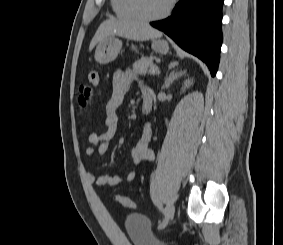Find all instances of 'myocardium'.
I'll return each mask as SVG.
<instances>
[{
	"label": "myocardium",
	"mask_w": 283,
	"mask_h": 245,
	"mask_svg": "<svg viewBox=\"0 0 283 245\" xmlns=\"http://www.w3.org/2000/svg\"><path fill=\"white\" fill-rule=\"evenodd\" d=\"M130 1H131V8L134 14L136 15V17L140 20L147 21V22L161 20L165 18L166 16H168L175 3V0H169L167 6L161 13L156 14V15H147L141 9L140 0H130Z\"/></svg>",
	"instance_id": "obj_1"
}]
</instances>
